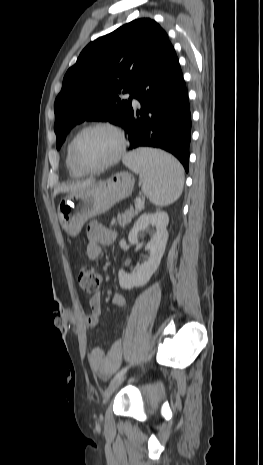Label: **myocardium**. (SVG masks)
Segmentation results:
<instances>
[{
    "label": "myocardium",
    "mask_w": 263,
    "mask_h": 465,
    "mask_svg": "<svg viewBox=\"0 0 263 465\" xmlns=\"http://www.w3.org/2000/svg\"><path fill=\"white\" fill-rule=\"evenodd\" d=\"M97 128L107 129L111 131L117 138L118 148H117L115 155L109 161L96 167H86L82 165L77 158L76 145H77L79 138L85 132L92 130V129H97ZM126 146H127V141H126L124 131L118 125L112 122H107V121H96V122H92V123L85 125L75 134V136L73 137L70 143V157H71L73 165L76 167L77 170H79L80 172L84 174H94V173L102 172L112 167L113 165L117 164L122 158V156L124 155Z\"/></svg>",
    "instance_id": "1"
}]
</instances>
